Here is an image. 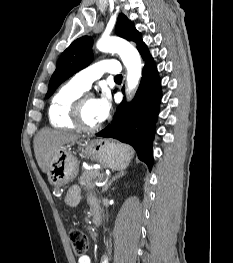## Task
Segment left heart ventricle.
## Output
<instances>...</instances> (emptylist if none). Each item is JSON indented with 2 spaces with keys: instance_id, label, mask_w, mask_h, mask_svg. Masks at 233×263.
Masks as SVG:
<instances>
[{
  "instance_id": "b2bd125f",
  "label": "left heart ventricle",
  "mask_w": 233,
  "mask_h": 263,
  "mask_svg": "<svg viewBox=\"0 0 233 263\" xmlns=\"http://www.w3.org/2000/svg\"><path fill=\"white\" fill-rule=\"evenodd\" d=\"M95 109V99L92 96H88L85 99L84 107H83V120L88 126H95L98 122L95 119L94 115Z\"/></svg>"
}]
</instances>
